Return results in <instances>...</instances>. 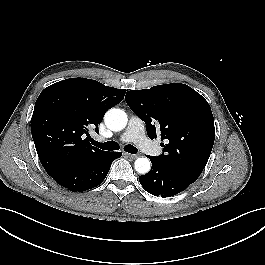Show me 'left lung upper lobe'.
I'll return each instance as SVG.
<instances>
[{
    "label": "left lung upper lobe",
    "mask_w": 265,
    "mask_h": 265,
    "mask_svg": "<svg viewBox=\"0 0 265 265\" xmlns=\"http://www.w3.org/2000/svg\"><path fill=\"white\" fill-rule=\"evenodd\" d=\"M132 111L145 122L148 136L166 139L161 164L196 179L202 173L215 140L208 102L185 84L171 83L130 90L125 96Z\"/></svg>",
    "instance_id": "left-lung-upper-lobe-1"
}]
</instances>
